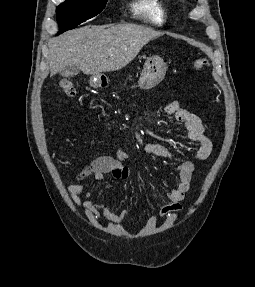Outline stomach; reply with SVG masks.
<instances>
[{"label":"stomach","instance_id":"1","mask_svg":"<svg viewBox=\"0 0 255 287\" xmlns=\"http://www.w3.org/2000/svg\"><path fill=\"white\" fill-rule=\"evenodd\" d=\"M152 66H149L148 62H146V66H144V70L141 72V76L139 78L138 86L142 88V90H149V88H154L157 84H160L162 80H164V76L166 74V66L161 60V58H153ZM90 86L92 88H100L101 80L99 74H93L90 78Z\"/></svg>","mask_w":255,"mask_h":287}]
</instances>
